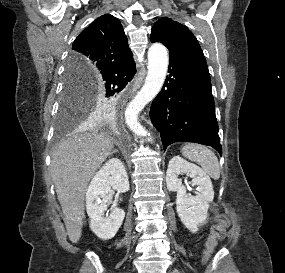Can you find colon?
Instances as JSON below:
<instances>
[{"instance_id": "obj_1", "label": "colon", "mask_w": 285, "mask_h": 273, "mask_svg": "<svg viewBox=\"0 0 285 273\" xmlns=\"http://www.w3.org/2000/svg\"><path fill=\"white\" fill-rule=\"evenodd\" d=\"M229 225L228 219L225 215L221 213H216L214 216V224L211 228L210 235L206 242V248L204 251V259L207 260L213 253L217 241L221 239L224 234L227 226Z\"/></svg>"}]
</instances>
